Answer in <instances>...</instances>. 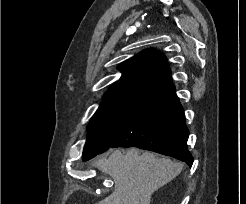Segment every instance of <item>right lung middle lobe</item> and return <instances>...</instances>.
<instances>
[{"instance_id": "dd1d6c3e", "label": "right lung middle lobe", "mask_w": 246, "mask_h": 204, "mask_svg": "<svg viewBox=\"0 0 246 204\" xmlns=\"http://www.w3.org/2000/svg\"><path fill=\"white\" fill-rule=\"evenodd\" d=\"M135 100L103 101L88 124L82 158L107 151L115 140L123 119Z\"/></svg>"}]
</instances>
